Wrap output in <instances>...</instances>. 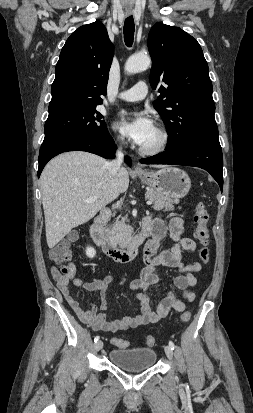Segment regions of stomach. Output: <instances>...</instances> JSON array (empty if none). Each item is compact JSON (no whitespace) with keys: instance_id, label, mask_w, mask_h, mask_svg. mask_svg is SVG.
<instances>
[{"instance_id":"1","label":"stomach","mask_w":253,"mask_h":413,"mask_svg":"<svg viewBox=\"0 0 253 413\" xmlns=\"http://www.w3.org/2000/svg\"><path fill=\"white\" fill-rule=\"evenodd\" d=\"M141 181L158 193L174 199L187 195L191 188L188 174L180 168L165 166L157 171H146L139 174Z\"/></svg>"}]
</instances>
